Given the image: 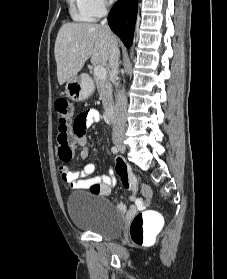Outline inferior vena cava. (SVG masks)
Masks as SVG:
<instances>
[{
	"label": "inferior vena cava",
	"mask_w": 227,
	"mask_h": 279,
	"mask_svg": "<svg viewBox=\"0 0 227 279\" xmlns=\"http://www.w3.org/2000/svg\"><path fill=\"white\" fill-rule=\"evenodd\" d=\"M101 26H107V19H103L101 21ZM119 58L120 51L116 43H112L110 46V54H109V66L112 72L113 82L116 83L117 75H118V67H119ZM126 111H127V99L124 94V91L117 92L116 104H115V113H114V121H113V137H117L122 135L125 130L126 125Z\"/></svg>",
	"instance_id": "obj_1"
}]
</instances>
